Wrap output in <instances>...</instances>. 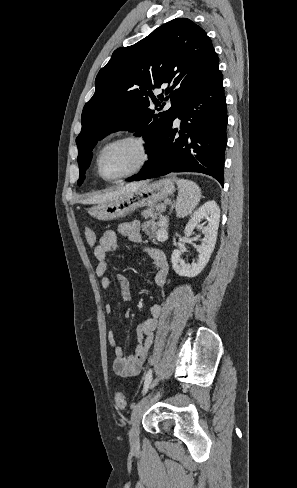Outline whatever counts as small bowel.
Here are the masks:
<instances>
[{
	"label": "small bowel",
	"instance_id": "c3829d8e",
	"mask_svg": "<svg viewBox=\"0 0 297 488\" xmlns=\"http://www.w3.org/2000/svg\"><path fill=\"white\" fill-rule=\"evenodd\" d=\"M118 233L127 237L133 243H142L144 241L141 233L140 224L136 221L124 222L118 226ZM119 249V242L117 234L113 230H106L99 238L94 247V256L97 260L96 275L100 279L101 287L106 290L111 286V280L106 275L108 270V256L110 253L116 252ZM143 252L150 258L151 265L155 270L154 282L156 287L165 293L168 285L170 266L168 259L164 252L153 247H144ZM116 280L119 285L120 295L123 301H129L132 296L131 284L129 280L118 274ZM114 312L111 305L105 306V313L112 315ZM163 313V307L160 304H154L150 308V317L145 319L141 325L137 327V334L140 338L146 336L144 341H141L133 354L127 355L123 349L116 343L115 331L111 330L108 342L114 353L113 370L115 374L122 378H129L137 376L147 359L149 354L154 331L159 324V318Z\"/></svg>",
	"mask_w": 297,
	"mask_h": 488
}]
</instances>
